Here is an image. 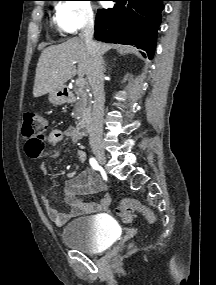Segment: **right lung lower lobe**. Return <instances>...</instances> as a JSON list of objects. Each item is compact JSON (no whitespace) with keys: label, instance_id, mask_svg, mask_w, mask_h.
<instances>
[{"label":"right lung lower lobe","instance_id":"1","mask_svg":"<svg viewBox=\"0 0 216 285\" xmlns=\"http://www.w3.org/2000/svg\"><path fill=\"white\" fill-rule=\"evenodd\" d=\"M112 1L116 3L113 8L98 10L95 38L109 43L138 46L152 59L161 21L160 12L166 0Z\"/></svg>","mask_w":216,"mask_h":285}]
</instances>
